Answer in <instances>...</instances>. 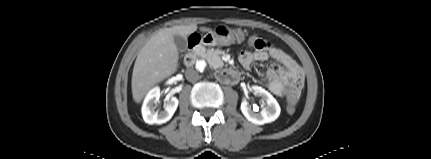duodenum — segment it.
Segmentation results:
<instances>
[{"label":"duodenum","instance_id":"duodenum-1","mask_svg":"<svg viewBox=\"0 0 431 159\" xmlns=\"http://www.w3.org/2000/svg\"><path fill=\"white\" fill-rule=\"evenodd\" d=\"M203 42L192 40L191 50L185 55L184 63L187 67L192 66L197 58L198 50L202 47ZM219 77L226 83H234L238 80V73L232 69H223L219 73Z\"/></svg>","mask_w":431,"mask_h":159}]
</instances>
